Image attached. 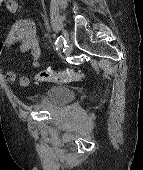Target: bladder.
<instances>
[{"instance_id": "1", "label": "bladder", "mask_w": 143, "mask_h": 170, "mask_svg": "<svg viewBox=\"0 0 143 170\" xmlns=\"http://www.w3.org/2000/svg\"><path fill=\"white\" fill-rule=\"evenodd\" d=\"M50 105L59 108L71 103L74 99L73 91L65 86H51L46 93Z\"/></svg>"}]
</instances>
